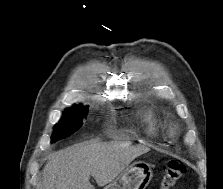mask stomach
<instances>
[{
  "instance_id": "obj_1",
  "label": "stomach",
  "mask_w": 223,
  "mask_h": 189,
  "mask_svg": "<svg viewBox=\"0 0 223 189\" xmlns=\"http://www.w3.org/2000/svg\"><path fill=\"white\" fill-rule=\"evenodd\" d=\"M152 176L153 172L149 164L143 161L134 162L104 189H145Z\"/></svg>"
}]
</instances>
